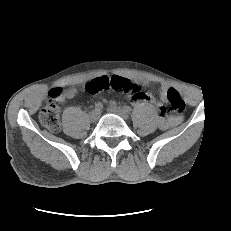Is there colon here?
I'll return each mask as SVG.
<instances>
[{
	"mask_svg": "<svg viewBox=\"0 0 231 231\" xmlns=\"http://www.w3.org/2000/svg\"><path fill=\"white\" fill-rule=\"evenodd\" d=\"M105 90L131 95L138 91V87L128 79L119 76L97 78L86 85V91L90 94ZM60 94L61 90L59 88L52 89L49 92L47 104L41 109L39 114L41 124L52 132L60 130V115L57 104ZM167 110L176 115H181L185 110V103L179 92L174 88H168L165 93V105L160 107L161 116H164Z\"/></svg>",
	"mask_w": 231,
	"mask_h": 231,
	"instance_id": "5ec220e1",
	"label": "colon"
}]
</instances>
